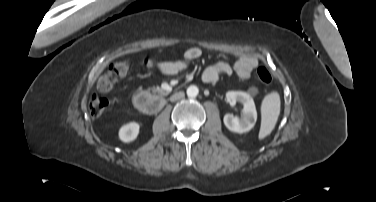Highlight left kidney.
I'll list each match as a JSON object with an SVG mask.
<instances>
[{"instance_id":"5707ae66","label":"left kidney","mask_w":376,"mask_h":202,"mask_svg":"<svg viewBox=\"0 0 376 202\" xmlns=\"http://www.w3.org/2000/svg\"><path fill=\"white\" fill-rule=\"evenodd\" d=\"M227 101L235 104L239 102L243 105L240 118L232 114H226L223 118L225 126L232 132L244 133L250 131L257 120V111L253 99L242 91H229L226 94Z\"/></svg>"}]
</instances>
